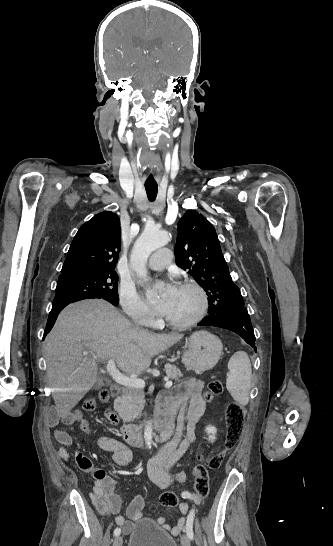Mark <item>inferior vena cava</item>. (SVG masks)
<instances>
[{
	"mask_svg": "<svg viewBox=\"0 0 333 546\" xmlns=\"http://www.w3.org/2000/svg\"><path fill=\"white\" fill-rule=\"evenodd\" d=\"M134 321H135V323H136V324H138V321H137V319H134Z\"/></svg>",
	"mask_w": 333,
	"mask_h": 546,
	"instance_id": "obj_1",
	"label": "inferior vena cava"
}]
</instances>
